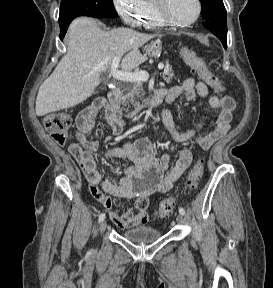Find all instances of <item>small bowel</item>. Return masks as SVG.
I'll list each match as a JSON object with an SVG mask.
<instances>
[{
    "label": "small bowel",
    "instance_id": "small-bowel-1",
    "mask_svg": "<svg viewBox=\"0 0 273 288\" xmlns=\"http://www.w3.org/2000/svg\"><path fill=\"white\" fill-rule=\"evenodd\" d=\"M165 92L168 102L174 101L182 94L188 101L194 100L197 95L208 98V104L216 114L214 127L211 131L200 132L206 122V117H204L196 128L180 132L177 130L170 113L166 111L168 117L164 123L175 142L187 143L190 140H195L200 148L207 150L229 132L233 113L236 109L235 101L231 97L209 96L207 84L203 81H196L194 78H188L180 85L165 89ZM103 108H106L105 103L96 101L77 115L75 121L76 141L70 144L69 152L80 165L92 196L110 211L111 221L120 228L142 226L149 220L148 198L151 195L162 194L171 190L175 182L190 166L192 154L188 148L182 149L175 165L168 169V158L166 156L161 159L156 158L147 139L128 142L121 147L107 150L106 157L128 160L131 162V166L126 169L125 175L118 184L104 180L94 157L98 144L87 137L96 116ZM104 118L112 126L115 135L122 132L125 123L119 117L110 116L106 110ZM111 197L134 199L136 213L119 214L113 209Z\"/></svg>",
    "mask_w": 273,
    "mask_h": 288
}]
</instances>
